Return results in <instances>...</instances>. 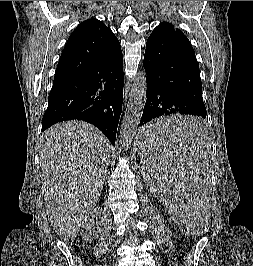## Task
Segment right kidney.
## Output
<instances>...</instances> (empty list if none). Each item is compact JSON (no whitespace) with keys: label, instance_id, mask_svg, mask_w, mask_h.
I'll return each mask as SVG.
<instances>
[{"label":"right kidney","instance_id":"obj_1","mask_svg":"<svg viewBox=\"0 0 253 266\" xmlns=\"http://www.w3.org/2000/svg\"><path fill=\"white\" fill-rule=\"evenodd\" d=\"M96 218V219H95ZM101 232V222L95 215L87 219L82 225L81 236L86 242H91L93 239L98 238Z\"/></svg>","mask_w":253,"mask_h":266}]
</instances>
